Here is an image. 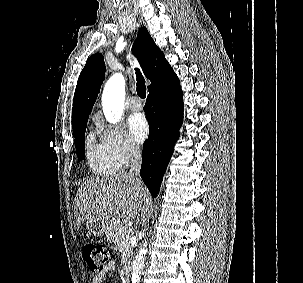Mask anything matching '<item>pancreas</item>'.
Returning <instances> with one entry per match:
<instances>
[{"label": "pancreas", "instance_id": "cf45deb5", "mask_svg": "<svg viewBox=\"0 0 303 283\" xmlns=\"http://www.w3.org/2000/svg\"><path fill=\"white\" fill-rule=\"evenodd\" d=\"M107 239L116 244L122 251V263L125 264L132 254L130 246L131 234L129 228L122 223H113L110 231L107 233Z\"/></svg>", "mask_w": 303, "mask_h": 283}]
</instances>
